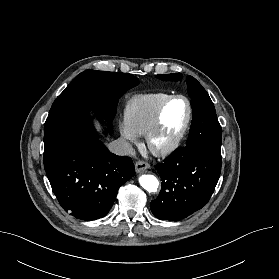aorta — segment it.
Returning a JSON list of instances; mask_svg holds the SVG:
<instances>
[{"mask_svg": "<svg viewBox=\"0 0 279 279\" xmlns=\"http://www.w3.org/2000/svg\"><path fill=\"white\" fill-rule=\"evenodd\" d=\"M139 183L146 191L150 193L156 192L159 186L158 179L151 174H144L140 176Z\"/></svg>", "mask_w": 279, "mask_h": 279, "instance_id": "aorta-1", "label": "aorta"}]
</instances>
